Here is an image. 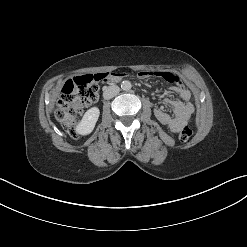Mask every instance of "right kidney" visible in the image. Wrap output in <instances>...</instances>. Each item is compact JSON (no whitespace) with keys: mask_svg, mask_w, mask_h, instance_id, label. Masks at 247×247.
<instances>
[{"mask_svg":"<svg viewBox=\"0 0 247 247\" xmlns=\"http://www.w3.org/2000/svg\"><path fill=\"white\" fill-rule=\"evenodd\" d=\"M99 115L100 111L97 107H92L89 110H87L82 120L76 126V132L80 135L90 134L95 127Z\"/></svg>","mask_w":247,"mask_h":247,"instance_id":"ca27d5eb","label":"right kidney"}]
</instances>
